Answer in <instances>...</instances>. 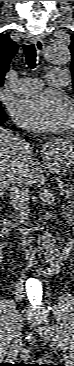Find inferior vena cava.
I'll return each instance as SVG.
<instances>
[{"mask_svg": "<svg viewBox=\"0 0 74 366\" xmlns=\"http://www.w3.org/2000/svg\"><path fill=\"white\" fill-rule=\"evenodd\" d=\"M22 141V140H21ZM22 153L25 154V159H29L31 155V148L28 143L21 142ZM24 162L19 165L17 172L12 176L10 180V199L11 205L15 210L14 221L16 225H20L19 231L22 234V247L25 248L27 259L32 260L34 258L33 250H32V241L33 237L30 236L31 228L29 227V219L28 216L30 214L29 210V183L24 172ZM19 290L20 288L18 286ZM19 297L20 295L16 293Z\"/></svg>", "mask_w": 74, "mask_h": 366, "instance_id": "1", "label": "inferior vena cava"}]
</instances>
